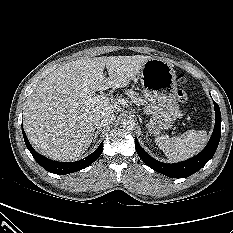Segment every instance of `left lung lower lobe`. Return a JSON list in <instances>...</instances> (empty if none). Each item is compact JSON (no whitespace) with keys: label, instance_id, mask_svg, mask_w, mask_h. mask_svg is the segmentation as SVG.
<instances>
[{"label":"left lung lower lobe","instance_id":"left-lung-lower-lobe-1","mask_svg":"<svg viewBox=\"0 0 233 233\" xmlns=\"http://www.w3.org/2000/svg\"><path fill=\"white\" fill-rule=\"evenodd\" d=\"M215 108V127L211 138L206 147L195 157L186 161L166 164L155 160L148 155L135 139V147L139 157L153 170L171 178H185L200 170L214 155L221 137V113L219 106L214 102Z\"/></svg>","mask_w":233,"mask_h":233}]
</instances>
